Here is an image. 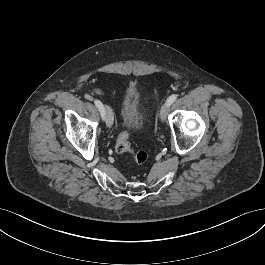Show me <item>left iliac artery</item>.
I'll return each mask as SVG.
<instances>
[{"label": "left iliac artery", "mask_w": 265, "mask_h": 265, "mask_svg": "<svg viewBox=\"0 0 265 265\" xmlns=\"http://www.w3.org/2000/svg\"><path fill=\"white\" fill-rule=\"evenodd\" d=\"M177 99V95L173 94L167 99V103L171 105Z\"/></svg>", "instance_id": "obj_1"}]
</instances>
